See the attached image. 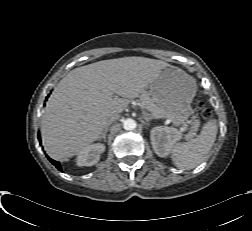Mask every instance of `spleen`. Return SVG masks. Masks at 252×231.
<instances>
[{"mask_svg":"<svg viewBox=\"0 0 252 231\" xmlns=\"http://www.w3.org/2000/svg\"><path fill=\"white\" fill-rule=\"evenodd\" d=\"M218 132L215 119L202 127L201 133L187 142L176 143L171 149V158L179 169H193L202 163L211 150Z\"/></svg>","mask_w":252,"mask_h":231,"instance_id":"obj_1","label":"spleen"}]
</instances>
